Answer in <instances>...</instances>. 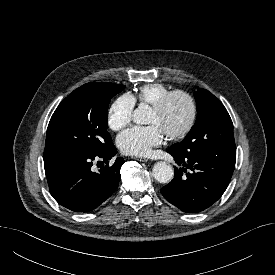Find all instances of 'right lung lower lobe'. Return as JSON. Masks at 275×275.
<instances>
[{
  "label": "right lung lower lobe",
  "mask_w": 275,
  "mask_h": 275,
  "mask_svg": "<svg viewBox=\"0 0 275 275\" xmlns=\"http://www.w3.org/2000/svg\"><path fill=\"white\" fill-rule=\"evenodd\" d=\"M117 150L111 144L104 152L93 155L68 151L44 152V168L53 198L74 212H89L100 206L116 190L120 180V167L125 162L118 157L94 172V160L108 163Z\"/></svg>",
  "instance_id": "1"
}]
</instances>
